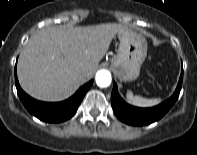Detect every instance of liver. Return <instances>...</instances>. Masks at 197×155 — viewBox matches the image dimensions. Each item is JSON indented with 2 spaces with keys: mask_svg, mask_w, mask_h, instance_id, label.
Listing matches in <instances>:
<instances>
[{
  "mask_svg": "<svg viewBox=\"0 0 197 155\" xmlns=\"http://www.w3.org/2000/svg\"><path fill=\"white\" fill-rule=\"evenodd\" d=\"M126 30L115 23L69 30L42 29L29 39L20 54L17 74L21 87L38 100L68 98L93 75L113 37ZM82 70L86 73L82 74Z\"/></svg>",
  "mask_w": 197,
  "mask_h": 155,
  "instance_id": "6515ba94",
  "label": "liver"
}]
</instances>
